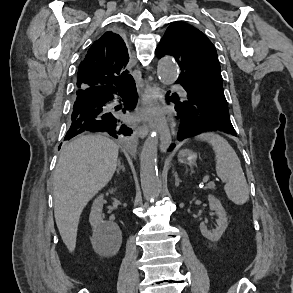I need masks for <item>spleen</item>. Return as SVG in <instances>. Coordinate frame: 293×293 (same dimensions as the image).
<instances>
[{
	"label": "spleen",
	"instance_id": "1",
	"mask_svg": "<svg viewBox=\"0 0 293 293\" xmlns=\"http://www.w3.org/2000/svg\"><path fill=\"white\" fill-rule=\"evenodd\" d=\"M212 145L215 152L217 176L226 182L224 190L227 197L237 205H243L249 199L247 185L240 160L226 139L213 132H206L195 137Z\"/></svg>",
	"mask_w": 293,
	"mask_h": 293
}]
</instances>
